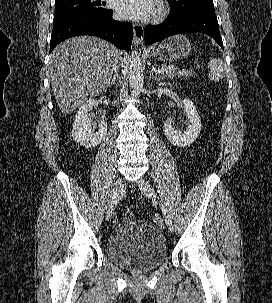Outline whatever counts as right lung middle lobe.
I'll return each mask as SVG.
<instances>
[{"mask_svg": "<svg viewBox=\"0 0 272 303\" xmlns=\"http://www.w3.org/2000/svg\"><path fill=\"white\" fill-rule=\"evenodd\" d=\"M105 3L101 0H63L55 2L54 21L85 12L105 13L109 9L105 8Z\"/></svg>", "mask_w": 272, "mask_h": 303, "instance_id": "right-lung-middle-lobe-1", "label": "right lung middle lobe"}]
</instances>
